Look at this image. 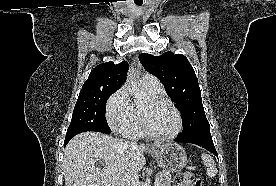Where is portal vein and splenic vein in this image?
<instances>
[{"mask_svg": "<svg viewBox=\"0 0 276 186\" xmlns=\"http://www.w3.org/2000/svg\"><path fill=\"white\" fill-rule=\"evenodd\" d=\"M158 183H159V181H158V178L156 177V179H155V186H158ZM108 186H110V185H108Z\"/></svg>", "mask_w": 276, "mask_h": 186, "instance_id": "18ae733b", "label": "portal vein and splenic vein"}]
</instances>
